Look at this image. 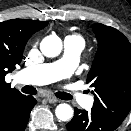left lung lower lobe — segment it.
<instances>
[{
  "label": "left lung lower lobe",
  "mask_w": 131,
  "mask_h": 131,
  "mask_svg": "<svg viewBox=\"0 0 131 131\" xmlns=\"http://www.w3.org/2000/svg\"><path fill=\"white\" fill-rule=\"evenodd\" d=\"M69 131H113L116 129L101 114L91 109V112L75 108L73 119L66 124Z\"/></svg>",
  "instance_id": "obj_1"
}]
</instances>
